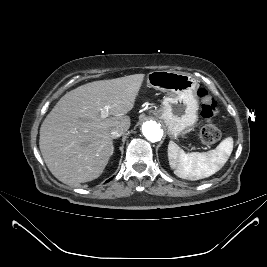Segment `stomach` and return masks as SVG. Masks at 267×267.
<instances>
[{
	"instance_id": "stomach-1",
	"label": "stomach",
	"mask_w": 267,
	"mask_h": 267,
	"mask_svg": "<svg viewBox=\"0 0 267 267\" xmlns=\"http://www.w3.org/2000/svg\"><path fill=\"white\" fill-rule=\"evenodd\" d=\"M150 86L166 93L158 116L168 134L177 139L198 121V81L190 74L174 71H154L148 75Z\"/></svg>"
}]
</instances>
